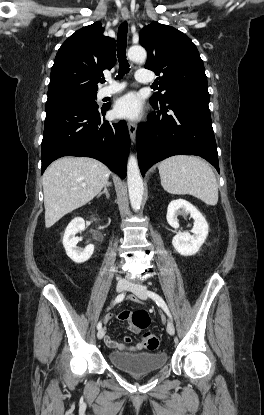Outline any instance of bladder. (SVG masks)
<instances>
[{"label": "bladder", "instance_id": "obj_1", "mask_svg": "<svg viewBox=\"0 0 264 415\" xmlns=\"http://www.w3.org/2000/svg\"><path fill=\"white\" fill-rule=\"evenodd\" d=\"M167 352L113 351L108 360L117 369L139 375L161 369L167 362Z\"/></svg>", "mask_w": 264, "mask_h": 415}]
</instances>
